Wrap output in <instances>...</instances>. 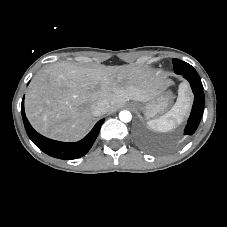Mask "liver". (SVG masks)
<instances>
[{
    "instance_id": "liver-1",
    "label": "liver",
    "mask_w": 227,
    "mask_h": 227,
    "mask_svg": "<svg viewBox=\"0 0 227 227\" xmlns=\"http://www.w3.org/2000/svg\"><path fill=\"white\" fill-rule=\"evenodd\" d=\"M170 85L159 72L123 66L79 67L71 62L45 66L30 83L25 112L41 134L62 141H77L90 130L96 102L105 100L107 112L127 101L147 102ZM179 91H185L183 85Z\"/></svg>"
}]
</instances>
